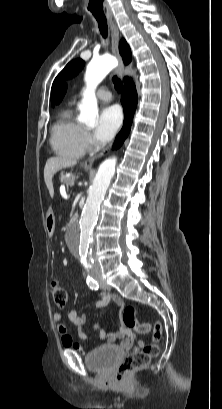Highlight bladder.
Returning a JSON list of instances; mask_svg holds the SVG:
<instances>
[{
	"label": "bladder",
	"instance_id": "obj_1",
	"mask_svg": "<svg viewBox=\"0 0 222 409\" xmlns=\"http://www.w3.org/2000/svg\"><path fill=\"white\" fill-rule=\"evenodd\" d=\"M120 357L117 346H101L87 354L84 362L86 367L97 374H109Z\"/></svg>",
	"mask_w": 222,
	"mask_h": 409
}]
</instances>
